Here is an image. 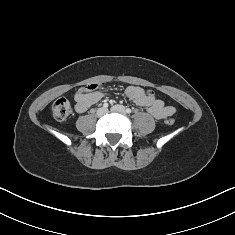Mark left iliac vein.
<instances>
[{"mask_svg":"<svg viewBox=\"0 0 235 235\" xmlns=\"http://www.w3.org/2000/svg\"><path fill=\"white\" fill-rule=\"evenodd\" d=\"M111 110L114 111V112H120V113H125L126 112L125 107L123 105H114L111 108Z\"/></svg>","mask_w":235,"mask_h":235,"instance_id":"1","label":"left iliac vein"}]
</instances>
